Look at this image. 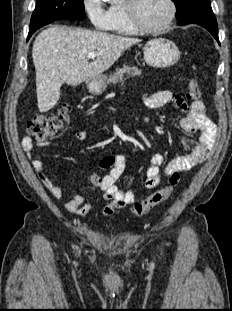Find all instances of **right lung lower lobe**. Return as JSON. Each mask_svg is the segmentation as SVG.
I'll use <instances>...</instances> for the list:
<instances>
[{
	"label": "right lung lower lobe",
	"mask_w": 232,
	"mask_h": 311,
	"mask_svg": "<svg viewBox=\"0 0 232 311\" xmlns=\"http://www.w3.org/2000/svg\"><path fill=\"white\" fill-rule=\"evenodd\" d=\"M43 26H44V25H43ZM40 27H42V26L30 28V31H29V34H28V38H27V39H29L30 36H31L36 30H38Z\"/></svg>",
	"instance_id": "1"
}]
</instances>
